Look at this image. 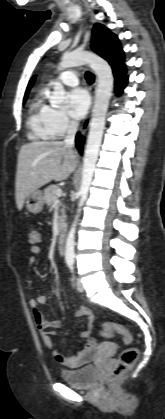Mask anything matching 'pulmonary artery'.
I'll use <instances>...</instances> for the list:
<instances>
[{
    "label": "pulmonary artery",
    "instance_id": "pulmonary-artery-1",
    "mask_svg": "<svg viewBox=\"0 0 165 419\" xmlns=\"http://www.w3.org/2000/svg\"><path fill=\"white\" fill-rule=\"evenodd\" d=\"M61 83L67 86H76L79 83V75L74 71H65L58 76Z\"/></svg>",
    "mask_w": 165,
    "mask_h": 419
}]
</instances>
